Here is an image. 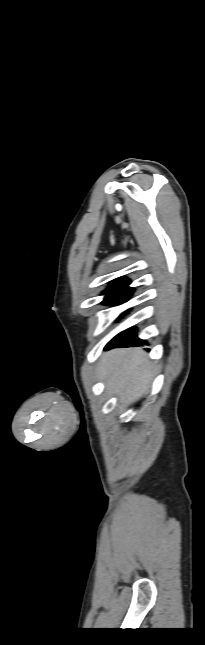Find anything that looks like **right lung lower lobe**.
<instances>
[{
  "mask_svg": "<svg viewBox=\"0 0 205 645\" xmlns=\"http://www.w3.org/2000/svg\"><path fill=\"white\" fill-rule=\"evenodd\" d=\"M146 341L140 340L136 336V328H129L116 337H114L106 346V350L114 347H130V346H140L146 345Z\"/></svg>",
  "mask_w": 205,
  "mask_h": 645,
  "instance_id": "1",
  "label": "right lung lower lobe"
}]
</instances>
